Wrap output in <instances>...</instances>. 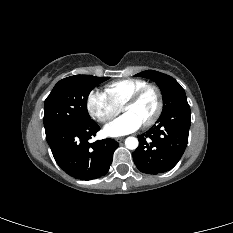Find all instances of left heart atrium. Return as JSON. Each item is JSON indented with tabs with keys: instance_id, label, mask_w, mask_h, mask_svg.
<instances>
[{
	"instance_id": "obj_1",
	"label": "left heart atrium",
	"mask_w": 233,
	"mask_h": 233,
	"mask_svg": "<svg viewBox=\"0 0 233 233\" xmlns=\"http://www.w3.org/2000/svg\"><path fill=\"white\" fill-rule=\"evenodd\" d=\"M140 121L132 114L124 113L104 128V133L110 137H119L135 132L141 127Z\"/></svg>"
}]
</instances>
